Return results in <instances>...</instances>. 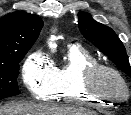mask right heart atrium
<instances>
[{"instance_id": "right-heart-atrium-1", "label": "right heart atrium", "mask_w": 131, "mask_h": 115, "mask_svg": "<svg viewBox=\"0 0 131 115\" xmlns=\"http://www.w3.org/2000/svg\"><path fill=\"white\" fill-rule=\"evenodd\" d=\"M22 80L33 97L39 100L49 99L57 89L56 68L39 50L30 53L24 60Z\"/></svg>"}]
</instances>
